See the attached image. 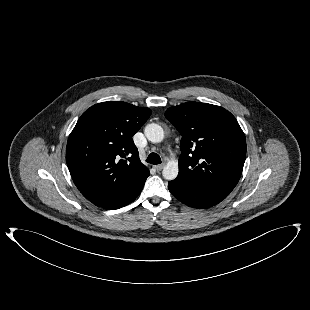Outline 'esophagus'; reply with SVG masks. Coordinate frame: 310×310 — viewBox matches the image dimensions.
Masks as SVG:
<instances>
[{
	"instance_id": "1",
	"label": "esophagus",
	"mask_w": 310,
	"mask_h": 310,
	"mask_svg": "<svg viewBox=\"0 0 310 310\" xmlns=\"http://www.w3.org/2000/svg\"><path fill=\"white\" fill-rule=\"evenodd\" d=\"M163 167H164L163 164L155 165V166H154L155 170L158 171V172L161 171V170L163 169Z\"/></svg>"
}]
</instances>
